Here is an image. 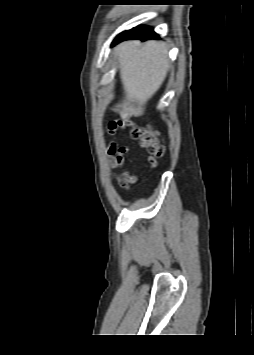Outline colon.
I'll return each instance as SVG.
<instances>
[{"label":"colon","mask_w":254,"mask_h":355,"mask_svg":"<svg viewBox=\"0 0 254 355\" xmlns=\"http://www.w3.org/2000/svg\"><path fill=\"white\" fill-rule=\"evenodd\" d=\"M122 123L130 129L131 138L138 141L150 157H162L164 155L165 147L160 142L155 130L147 126L133 123L129 120H123ZM109 126H113V123Z\"/></svg>","instance_id":"colon-1"}]
</instances>
